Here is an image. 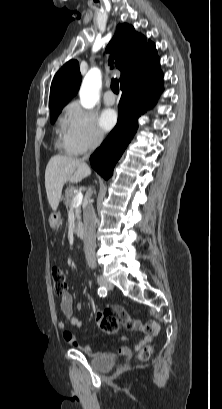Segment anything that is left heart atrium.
<instances>
[{
  "mask_svg": "<svg viewBox=\"0 0 222 409\" xmlns=\"http://www.w3.org/2000/svg\"><path fill=\"white\" fill-rule=\"evenodd\" d=\"M117 122V114L113 109L104 110L99 118V125L104 131L111 130Z\"/></svg>",
  "mask_w": 222,
  "mask_h": 409,
  "instance_id": "1",
  "label": "left heart atrium"
}]
</instances>
